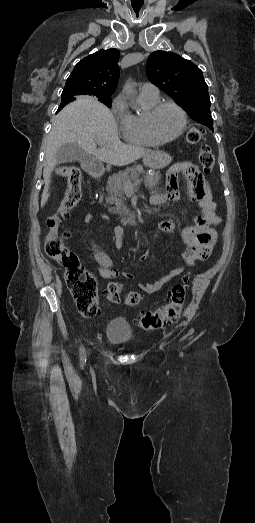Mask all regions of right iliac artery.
Returning <instances> with one entry per match:
<instances>
[{
    "label": "right iliac artery",
    "instance_id": "obj_1",
    "mask_svg": "<svg viewBox=\"0 0 255 523\" xmlns=\"http://www.w3.org/2000/svg\"><path fill=\"white\" fill-rule=\"evenodd\" d=\"M80 361H81V364H84L86 361V354H85V349L83 346L80 347Z\"/></svg>",
    "mask_w": 255,
    "mask_h": 523
}]
</instances>
